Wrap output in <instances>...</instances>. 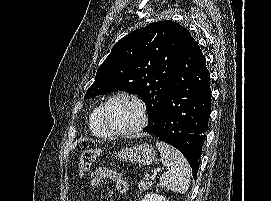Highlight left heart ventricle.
Returning <instances> with one entry per match:
<instances>
[{
	"instance_id": "obj_1",
	"label": "left heart ventricle",
	"mask_w": 271,
	"mask_h": 201,
	"mask_svg": "<svg viewBox=\"0 0 271 201\" xmlns=\"http://www.w3.org/2000/svg\"><path fill=\"white\" fill-rule=\"evenodd\" d=\"M108 119L118 130H129L140 121L138 106L130 99L118 98L110 103L107 110Z\"/></svg>"
}]
</instances>
